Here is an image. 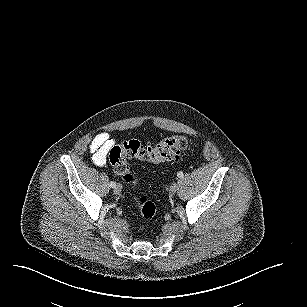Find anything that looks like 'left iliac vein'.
Instances as JSON below:
<instances>
[{"label": "left iliac vein", "mask_w": 307, "mask_h": 307, "mask_svg": "<svg viewBox=\"0 0 307 307\" xmlns=\"http://www.w3.org/2000/svg\"><path fill=\"white\" fill-rule=\"evenodd\" d=\"M178 187H179V185H178L177 182L172 183L171 186H170V192L175 193L178 190Z\"/></svg>", "instance_id": "4c4485c4"}]
</instances>
